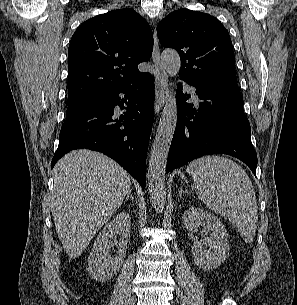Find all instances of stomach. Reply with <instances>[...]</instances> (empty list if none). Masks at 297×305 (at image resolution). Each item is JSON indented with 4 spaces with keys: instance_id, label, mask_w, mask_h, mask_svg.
I'll return each instance as SVG.
<instances>
[{
    "instance_id": "stomach-1",
    "label": "stomach",
    "mask_w": 297,
    "mask_h": 305,
    "mask_svg": "<svg viewBox=\"0 0 297 305\" xmlns=\"http://www.w3.org/2000/svg\"><path fill=\"white\" fill-rule=\"evenodd\" d=\"M181 177L184 179L185 178V176L183 175V174H181Z\"/></svg>"
}]
</instances>
